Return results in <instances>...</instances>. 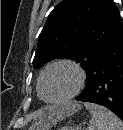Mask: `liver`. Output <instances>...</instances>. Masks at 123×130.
<instances>
[{
    "label": "liver",
    "mask_w": 123,
    "mask_h": 130,
    "mask_svg": "<svg viewBox=\"0 0 123 130\" xmlns=\"http://www.w3.org/2000/svg\"><path fill=\"white\" fill-rule=\"evenodd\" d=\"M78 109H80V105L74 103H68L64 107L49 106L36 115L30 128L31 130H49L59 120L73 114Z\"/></svg>",
    "instance_id": "6515ba94"
}]
</instances>
